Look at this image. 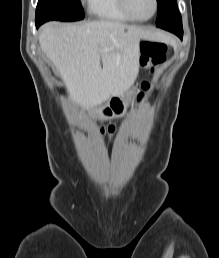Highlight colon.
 Returning <instances> with one entry per match:
<instances>
[{"mask_svg":"<svg viewBox=\"0 0 219 258\" xmlns=\"http://www.w3.org/2000/svg\"><path fill=\"white\" fill-rule=\"evenodd\" d=\"M141 49V62L142 64L148 65L154 70L160 64H162L166 59L167 46L160 42L154 41H143L140 45ZM150 88L149 83L144 82L142 84V89L144 91ZM144 94H140V99L143 98ZM115 127L109 126L103 128V132H114Z\"/></svg>","mask_w":219,"mask_h":258,"instance_id":"obj_1","label":"colon"}]
</instances>
